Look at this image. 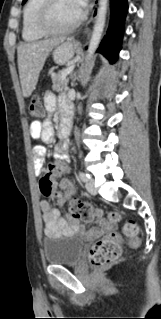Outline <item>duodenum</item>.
I'll list each match as a JSON object with an SVG mask.
<instances>
[{"mask_svg": "<svg viewBox=\"0 0 161 319\" xmlns=\"http://www.w3.org/2000/svg\"><path fill=\"white\" fill-rule=\"evenodd\" d=\"M71 131V120L69 117H63L59 127V135L61 137H67Z\"/></svg>", "mask_w": 161, "mask_h": 319, "instance_id": "obj_1", "label": "duodenum"}]
</instances>
